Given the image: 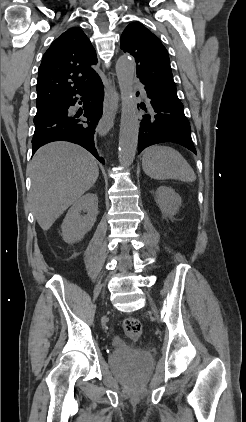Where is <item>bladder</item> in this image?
<instances>
[{
	"instance_id": "obj_1",
	"label": "bladder",
	"mask_w": 246,
	"mask_h": 422,
	"mask_svg": "<svg viewBox=\"0 0 246 422\" xmlns=\"http://www.w3.org/2000/svg\"><path fill=\"white\" fill-rule=\"evenodd\" d=\"M110 364L115 367H133L143 370L153 363V356L145 350L116 347L109 356Z\"/></svg>"
}]
</instances>
